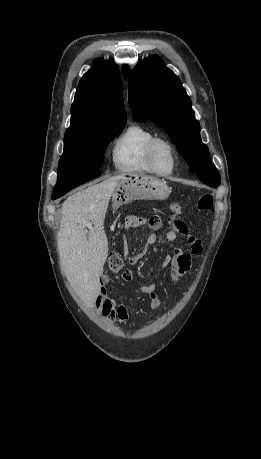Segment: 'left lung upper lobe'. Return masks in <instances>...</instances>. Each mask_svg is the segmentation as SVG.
I'll return each instance as SVG.
<instances>
[{
    "instance_id": "5c2ea615",
    "label": "left lung upper lobe",
    "mask_w": 261,
    "mask_h": 459,
    "mask_svg": "<svg viewBox=\"0 0 261 459\" xmlns=\"http://www.w3.org/2000/svg\"><path fill=\"white\" fill-rule=\"evenodd\" d=\"M122 73L129 77L128 99L135 120L150 119L164 128L190 171L202 182L218 187L220 175L201 140L199 122L180 79L157 55L144 59L132 71L124 65Z\"/></svg>"
}]
</instances>
